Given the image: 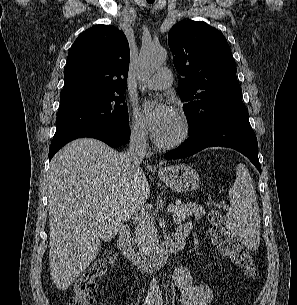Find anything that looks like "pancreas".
Instances as JSON below:
<instances>
[{
	"label": "pancreas",
	"instance_id": "pancreas-1",
	"mask_svg": "<svg viewBox=\"0 0 297 305\" xmlns=\"http://www.w3.org/2000/svg\"><path fill=\"white\" fill-rule=\"evenodd\" d=\"M207 204L211 205L212 202L208 201ZM172 213L173 221L180 224L190 216H194L196 219H200L205 215V210L196 202H189L186 204L174 206ZM156 232L157 231L155 228L154 220L150 215H145L138 219L136 222L135 242L139 247L140 252L143 254H149L156 248L159 241Z\"/></svg>",
	"mask_w": 297,
	"mask_h": 305
}]
</instances>
